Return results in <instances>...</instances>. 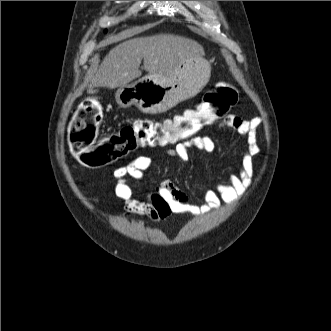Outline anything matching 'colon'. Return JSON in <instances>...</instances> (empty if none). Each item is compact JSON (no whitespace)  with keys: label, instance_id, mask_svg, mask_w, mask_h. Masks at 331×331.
<instances>
[{"label":"colon","instance_id":"5ec220e1","mask_svg":"<svg viewBox=\"0 0 331 331\" xmlns=\"http://www.w3.org/2000/svg\"><path fill=\"white\" fill-rule=\"evenodd\" d=\"M238 92L228 83L205 94L195 108L164 120L140 119L102 139H97L102 107L87 99L76 110L68 131L73 157L88 167H102L125 157L138 147L167 146L185 140L223 118L236 104Z\"/></svg>","mask_w":331,"mask_h":331}]
</instances>
